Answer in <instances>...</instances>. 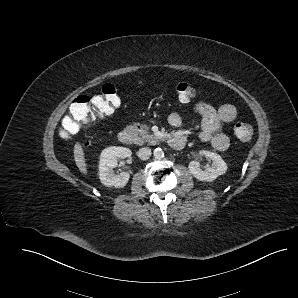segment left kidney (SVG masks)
Listing matches in <instances>:
<instances>
[{"label":"left kidney","mask_w":298,"mask_h":298,"mask_svg":"<svg viewBox=\"0 0 298 298\" xmlns=\"http://www.w3.org/2000/svg\"><path fill=\"white\" fill-rule=\"evenodd\" d=\"M201 155L212 160V166H206L205 170L200 168L198 161H191L188 165L190 173L200 181H213L227 171V164L217 153L201 150Z\"/></svg>","instance_id":"1"}]
</instances>
